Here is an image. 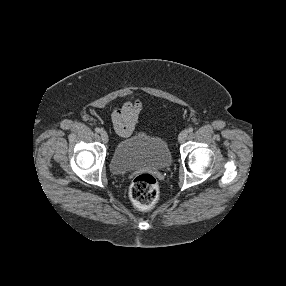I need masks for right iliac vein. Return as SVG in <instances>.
Masks as SVG:
<instances>
[{
  "label": "right iliac vein",
  "mask_w": 286,
  "mask_h": 286,
  "mask_svg": "<svg viewBox=\"0 0 286 286\" xmlns=\"http://www.w3.org/2000/svg\"><path fill=\"white\" fill-rule=\"evenodd\" d=\"M100 137H101V139H102V141L104 142V143H108V140H109V138H108V134H107V132L106 131H101L100 132Z\"/></svg>",
  "instance_id": "63e3f726"
}]
</instances>
